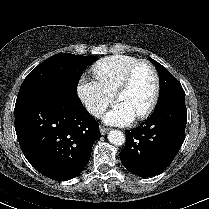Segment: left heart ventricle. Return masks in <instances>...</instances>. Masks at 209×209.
<instances>
[{"instance_id":"1","label":"left heart ventricle","mask_w":209,"mask_h":209,"mask_svg":"<svg viewBox=\"0 0 209 209\" xmlns=\"http://www.w3.org/2000/svg\"><path fill=\"white\" fill-rule=\"evenodd\" d=\"M153 91V74L148 67L142 66L135 72L130 85L118 96V101L136 116L147 107Z\"/></svg>"}]
</instances>
